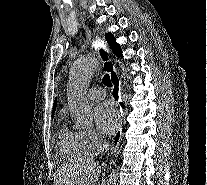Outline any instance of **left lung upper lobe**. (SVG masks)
<instances>
[{"label": "left lung upper lobe", "mask_w": 207, "mask_h": 185, "mask_svg": "<svg viewBox=\"0 0 207 185\" xmlns=\"http://www.w3.org/2000/svg\"><path fill=\"white\" fill-rule=\"evenodd\" d=\"M105 39L107 40L108 44L110 45L112 51L118 57H122V50L120 45L116 42L115 38L111 33L105 34Z\"/></svg>", "instance_id": "left-lung-upper-lobe-1"}]
</instances>
